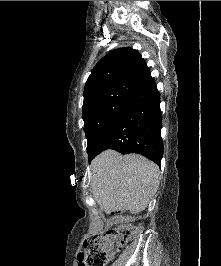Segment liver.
<instances>
[{"label":"liver","mask_w":221,"mask_h":266,"mask_svg":"<svg viewBox=\"0 0 221 266\" xmlns=\"http://www.w3.org/2000/svg\"><path fill=\"white\" fill-rule=\"evenodd\" d=\"M159 178V167L137 154L106 150L91 163L92 193L107 214L143 211L157 192Z\"/></svg>","instance_id":"liver-1"}]
</instances>
